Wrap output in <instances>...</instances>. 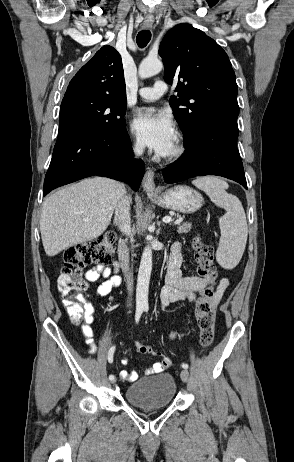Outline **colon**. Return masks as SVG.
<instances>
[{
    "mask_svg": "<svg viewBox=\"0 0 294 462\" xmlns=\"http://www.w3.org/2000/svg\"><path fill=\"white\" fill-rule=\"evenodd\" d=\"M114 240V233L107 232L87 243L70 247L64 254V264L57 285L63 304L73 323H80L84 313L81 293L85 291L87 282L83 277V271L92 264L107 265L111 263L114 254ZM193 249L198 274L205 280V286L196 303V320L199 328L200 346L202 349H207L213 343L215 334L217 282L215 256L213 248L203 243L199 238L194 239ZM147 353L154 356L159 355L156 350L149 346Z\"/></svg>",
    "mask_w": 294,
    "mask_h": 462,
    "instance_id": "colon-1",
    "label": "colon"
}]
</instances>
